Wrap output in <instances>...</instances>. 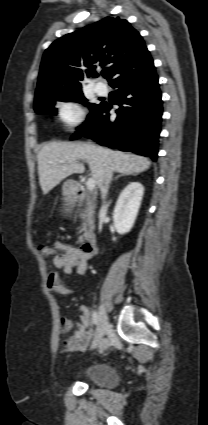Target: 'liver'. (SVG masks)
<instances>
[{
  "instance_id": "liver-1",
  "label": "liver",
  "mask_w": 208,
  "mask_h": 425,
  "mask_svg": "<svg viewBox=\"0 0 208 425\" xmlns=\"http://www.w3.org/2000/svg\"><path fill=\"white\" fill-rule=\"evenodd\" d=\"M38 175L43 194H47L63 179L74 174L83 173L84 166L77 160H86L96 184L102 187L108 166L113 171L127 175L147 170L151 162L142 156L113 151L91 143L51 142L38 152ZM60 160H75L60 163Z\"/></svg>"
}]
</instances>
